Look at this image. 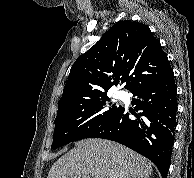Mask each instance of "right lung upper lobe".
Instances as JSON below:
<instances>
[{
    "label": "right lung upper lobe",
    "mask_w": 194,
    "mask_h": 178,
    "mask_svg": "<svg viewBox=\"0 0 194 178\" xmlns=\"http://www.w3.org/2000/svg\"><path fill=\"white\" fill-rule=\"evenodd\" d=\"M172 72L167 55L148 26L125 20L113 25L73 64L58 111L107 95L120 81L130 92Z\"/></svg>",
    "instance_id": "right-lung-upper-lobe-1"
}]
</instances>
